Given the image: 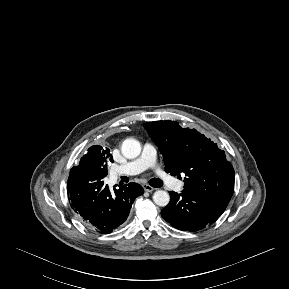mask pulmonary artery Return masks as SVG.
Listing matches in <instances>:
<instances>
[{
  "label": "pulmonary artery",
  "mask_w": 289,
  "mask_h": 289,
  "mask_svg": "<svg viewBox=\"0 0 289 289\" xmlns=\"http://www.w3.org/2000/svg\"><path fill=\"white\" fill-rule=\"evenodd\" d=\"M156 166V148L152 144L146 143L143 147L141 155L137 159L130 161L124 165L114 166L112 168V174L114 177L118 175H136L148 168H154ZM173 188L179 190L181 188V184L176 182L173 184Z\"/></svg>",
  "instance_id": "e3ab8cb5"
}]
</instances>
